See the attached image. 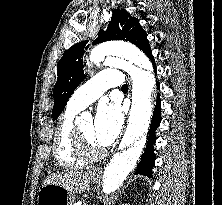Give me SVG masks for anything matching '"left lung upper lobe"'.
Wrapping results in <instances>:
<instances>
[{
  "label": "left lung upper lobe",
  "instance_id": "5c2ea615",
  "mask_svg": "<svg viewBox=\"0 0 222 205\" xmlns=\"http://www.w3.org/2000/svg\"><path fill=\"white\" fill-rule=\"evenodd\" d=\"M147 35L139 24L126 10L115 9L106 30H100L93 44L110 40H125L141 47ZM89 47L88 40L70 47L57 65L58 79L53 90V120L57 119L66 106L68 99L76 87L84 80L83 62L85 50Z\"/></svg>",
  "mask_w": 222,
  "mask_h": 205
}]
</instances>
